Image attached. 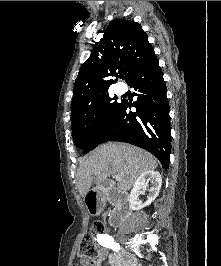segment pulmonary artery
<instances>
[{
	"label": "pulmonary artery",
	"mask_w": 221,
	"mask_h": 266,
	"mask_svg": "<svg viewBox=\"0 0 221 266\" xmlns=\"http://www.w3.org/2000/svg\"><path fill=\"white\" fill-rule=\"evenodd\" d=\"M116 92H117L118 94H122V93L124 92V90H123V89H116Z\"/></svg>",
	"instance_id": "1"
}]
</instances>
